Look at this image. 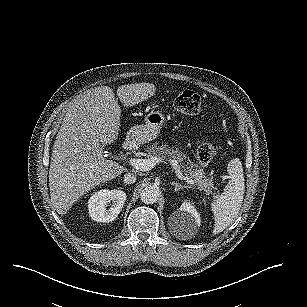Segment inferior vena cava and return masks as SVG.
Masks as SVG:
<instances>
[{"instance_id":"602c4592","label":"inferior vena cava","mask_w":307,"mask_h":307,"mask_svg":"<svg viewBox=\"0 0 307 307\" xmlns=\"http://www.w3.org/2000/svg\"><path fill=\"white\" fill-rule=\"evenodd\" d=\"M136 182V175L133 173H126L124 175V183L125 184H133Z\"/></svg>"}]
</instances>
